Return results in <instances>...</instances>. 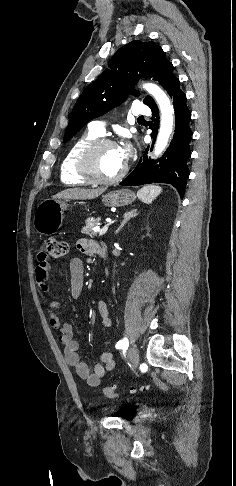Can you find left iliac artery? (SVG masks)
Instances as JSON below:
<instances>
[{"label": "left iliac artery", "mask_w": 236, "mask_h": 486, "mask_svg": "<svg viewBox=\"0 0 236 486\" xmlns=\"http://www.w3.org/2000/svg\"><path fill=\"white\" fill-rule=\"evenodd\" d=\"M128 345H129L128 339L127 338H124V339H122V340H120V341L117 342L116 348L117 349H122V348L127 347Z\"/></svg>", "instance_id": "left-iliac-artery-1"}]
</instances>
